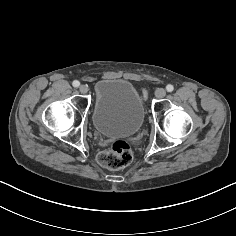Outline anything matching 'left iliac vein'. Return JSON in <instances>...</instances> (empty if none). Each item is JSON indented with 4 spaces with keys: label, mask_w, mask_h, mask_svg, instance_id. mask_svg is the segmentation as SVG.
I'll use <instances>...</instances> for the list:
<instances>
[{
    "label": "left iliac vein",
    "mask_w": 236,
    "mask_h": 236,
    "mask_svg": "<svg viewBox=\"0 0 236 236\" xmlns=\"http://www.w3.org/2000/svg\"><path fill=\"white\" fill-rule=\"evenodd\" d=\"M166 95V90L164 88H158L156 91H155V96L157 98H164Z\"/></svg>",
    "instance_id": "obj_1"
}]
</instances>
